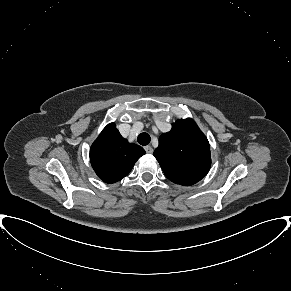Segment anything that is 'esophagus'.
Instances as JSON below:
<instances>
[{
  "label": "esophagus",
  "instance_id": "obj_1",
  "mask_svg": "<svg viewBox=\"0 0 291 291\" xmlns=\"http://www.w3.org/2000/svg\"><path fill=\"white\" fill-rule=\"evenodd\" d=\"M146 153L151 154L153 152V148L150 145H147L144 147Z\"/></svg>",
  "mask_w": 291,
  "mask_h": 291
}]
</instances>
